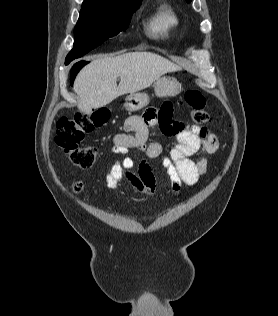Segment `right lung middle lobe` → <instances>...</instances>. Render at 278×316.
Wrapping results in <instances>:
<instances>
[{
    "mask_svg": "<svg viewBox=\"0 0 278 316\" xmlns=\"http://www.w3.org/2000/svg\"><path fill=\"white\" fill-rule=\"evenodd\" d=\"M140 4L141 1L113 5L82 4L74 30V46L67 55L65 64L125 30L130 23L131 14Z\"/></svg>",
    "mask_w": 278,
    "mask_h": 316,
    "instance_id": "obj_1",
    "label": "right lung middle lobe"
}]
</instances>
